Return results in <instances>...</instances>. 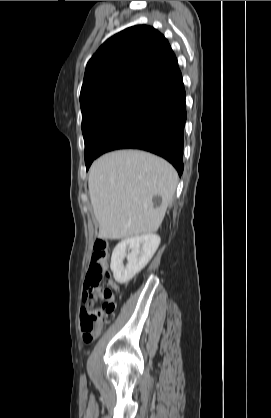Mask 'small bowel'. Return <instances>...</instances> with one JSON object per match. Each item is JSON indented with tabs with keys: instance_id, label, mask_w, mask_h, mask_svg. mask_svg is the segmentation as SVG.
I'll list each match as a JSON object with an SVG mask.
<instances>
[{
	"instance_id": "1",
	"label": "small bowel",
	"mask_w": 271,
	"mask_h": 418,
	"mask_svg": "<svg viewBox=\"0 0 271 418\" xmlns=\"http://www.w3.org/2000/svg\"><path fill=\"white\" fill-rule=\"evenodd\" d=\"M109 284H110L113 288H117L116 284H115V283H113L112 281H110V282H109ZM83 289H84V292H85V291H87V290L89 289V285H88V283H87V282L84 284Z\"/></svg>"
}]
</instances>
